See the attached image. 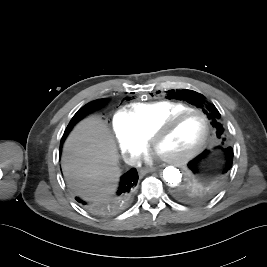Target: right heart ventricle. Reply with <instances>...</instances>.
<instances>
[{
    "mask_svg": "<svg viewBox=\"0 0 267 267\" xmlns=\"http://www.w3.org/2000/svg\"><path fill=\"white\" fill-rule=\"evenodd\" d=\"M187 109L191 107L183 102L162 100L134 103L124 112L135 130L148 140L154 130L169 116Z\"/></svg>",
    "mask_w": 267,
    "mask_h": 267,
    "instance_id": "obj_1",
    "label": "right heart ventricle"
}]
</instances>
